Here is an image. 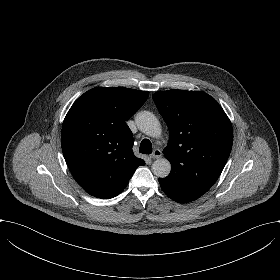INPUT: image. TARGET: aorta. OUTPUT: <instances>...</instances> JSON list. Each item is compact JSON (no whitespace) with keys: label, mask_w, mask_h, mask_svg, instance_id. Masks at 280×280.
Returning a JSON list of instances; mask_svg holds the SVG:
<instances>
[{"label":"aorta","mask_w":280,"mask_h":280,"mask_svg":"<svg viewBox=\"0 0 280 280\" xmlns=\"http://www.w3.org/2000/svg\"><path fill=\"white\" fill-rule=\"evenodd\" d=\"M138 128L145 135L160 139L162 136V126L159 119L151 112L142 111L135 117ZM152 172L155 176L164 178L171 172V163L168 159L160 157L152 164Z\"/></svg>","instance_id":"1"}]
</instances>
